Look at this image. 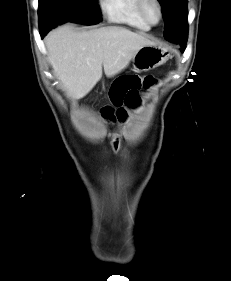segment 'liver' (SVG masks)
I'll list each match as a JSON object with an SVG mask.
<instances>
[{
    "instance_id": "1",
    "label": "liver",
    "mask_w": 231,
    "mask_h": 281,
    "mask_svg": "<svg viewBox=\"0 0 231 281\" xmlns=\"http://www.w3.org/2000/svg\"><path fill=\"white\" fill-rule=\"evenodd\" d=\"M47 59L66 94L73 99L87 95L102 77L124 70L144 46L154 45L141 34L122 27L75 31L62 26L45 38Z\"/></svg>"
}]
</instances>
